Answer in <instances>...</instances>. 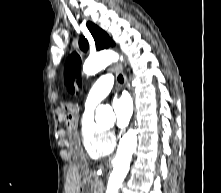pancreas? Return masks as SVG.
Returning a JSON list of instances; mask_svg holds the SVG:
<instances>
[{
	"instance_id": "1",
	"label": "pancreas",
	"mask_w": 221,
	"mask_h": 193,
	"mask_svg": "<svg viewBox=\"0 0 221 193\" xmlns=\"http://www.w3.org/2000/svg\"><path fill=\"white\" fill-rule=\"evenodd\" d=\"M93 186H94V193H102L101 192V181L99 179L94 180Z\"/></svg>"
}]
</instances>
